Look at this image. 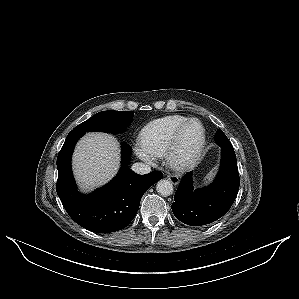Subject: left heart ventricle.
<instances>
[{"label": "left heart ventricle", "instance_id": "1", "mask_svg": "<svg viewBox=\"0 0 299 299\" xmlns=\"http://www.w3.org/2000/svg\"><path fill=\"white\" fill-rule=\"evenodd\" d=\"M201 136V128L199 126V124L197 123H192L191 125H189V127L185 130L181 141H180V149L183 152H190L192 151Z\"/></svg>", "mask_w": 299, "mask_h": 299}]
</instances>
